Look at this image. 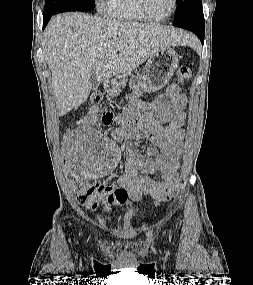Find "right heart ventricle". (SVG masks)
<instances>
[{"mask_svg":"<svg viewBox=\"0 0 253 285\" xmlns=\"http://www.w3.org/2000/svg\"><path fill=\"white\" fill-rule=\"evenodd\" d=\"M103 4L105 12L113 19L129 22L146 21L138 10L137 0H104Z\"/></svg>","mask_w":253,"mask_h":285,"instance_id":"obj_1","label":"right heart ventricle"}]
</instances>
